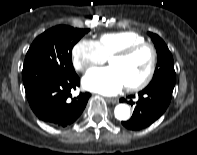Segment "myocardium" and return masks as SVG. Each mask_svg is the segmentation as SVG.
<instances>
[{
  "mask_svg": "<svg viewBox=\"0 0 197 155\" xmlns=\"http://www.w3.org/2000/svg\"><path fill=\"white\" fill-rule=\"evenodd\" d=\"M148 50L150 52L151 55V63H150V67L149 70L146 74V76L139 81L138 83L135 84H131V85H126V89L128 91H139L144 89L146 86L149 85V83L151 82V80L153 79V76L155 74L156 68H157V51L155 49V47L147 42L144 43H138V44H133L127 47H124L116 52H114L110 57H109V62L111 59L113 58H125V57H129L141 50Z\"/></svg>",
  "mask_w": 197,
  "mask_h": 155,
  "instance_id": "1",
  "label": "myocardium"
}]
</instances>
